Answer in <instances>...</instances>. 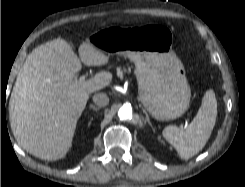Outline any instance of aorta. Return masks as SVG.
<instances>
[{
    "instance_id": "762f6f07",
    "label": "aorta",
    "mask_w": 245,
    "mask_h": 187,
    "mask_svg": "<svg viewBox=\"0 0 245 187\" xmlns=\"http://www.w3.org/2000/svg\"><path fill=\"white\" fill-rule=\"evenodd\" d=\"M120 120H128L132 118V108L129 106H122L118 111Z\"/></svg>"
}]
</instances>
